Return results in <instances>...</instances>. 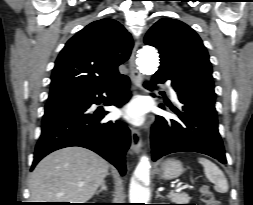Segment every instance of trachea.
<instances>
[{"label": "trachea", "instance_id": "obj_1", "mask_svg": "<svg viewBox=\"0 0 253 205\" xmlns=\"http://www.w3.org/2000/svg\"><path fill=\"white\" fill-rule=\"evenodd\" d=\"M146 88H150L151 86L149 85V83L148 82H144V84H143Z\"/></svg>", "mask_w": 253, "mask_h": 205}]
</instances>
